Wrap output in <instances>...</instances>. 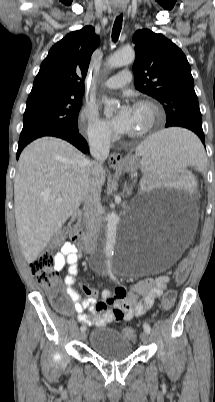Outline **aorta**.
Returning <instances> with one entry per match:
<instances>
[{"label": "aorta", "instance_id": "762f6f07", "mask_svg": "<svg viewBox=\"0 0 215 402\" xmlns=\"http://www.w3.org/2000/svg\"><path fill=\"white\" fill-rule=\"evenodd\" d=\"M135 60V52L131 48H126L117 51L107 60V66L110 68H118L128 64H131ZM105 114L110 116L115 106L119 104L118 100L104 99ZM117 215L111 213L108 216V223L106 226L105 234L102 236L98 245V251L96 256L105 261L109 265L122 266V254L119 253L116 245V233H117Z\"/></svg>", "mask_w": 215, "mask_h": 402}]
</instances>
